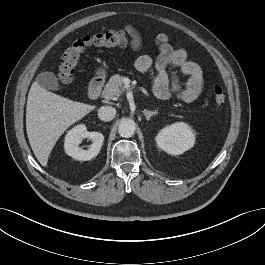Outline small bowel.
Instances as JSON below:
<instances>
[{
  "label": "small bowel",
  "mask_w": 265,
  "mask_h": 265,
  "mask_svg": "<svg viewBox=\"0 0 265 265\" xmlns=\"http://www.w3.org/2000/svg\"><path fill=\"white\" fill-rule=\"evenodd\" d=\"M125 30L131 36V48L138 52L142 46V39L133 25H126ZM155 42L159 48L156 61L143 54L136 58L135 68L139 72H147L153 65L156 70L154 83L155 95L160 99H167L175 95L184 102L194 101L201 93L204 85V73L195 62L188 60L187 52L183 48H174L169 43V37L165 33H159ZM170 66L179 68L188 76V81L182 85L178 78L171 77L168 73Z\"/></svg>",
  "instance_id": "obj_1"
}]
</instances>
